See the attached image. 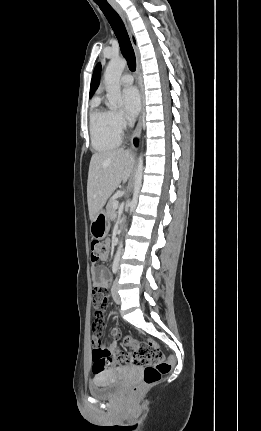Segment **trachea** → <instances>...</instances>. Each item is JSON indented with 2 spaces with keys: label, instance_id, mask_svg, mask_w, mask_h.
Returning <instances> with one entry per match:
<instances>
[{
  "label": "trachea",
  "instance_id": "trachea-1",
  "mask_svg": "<svg viewBox=\"0 0 261 431\" xmlns=\"http://www.w3.org/2000/svg\"><path fill=\"white\" fill-rule=\"evenodd\" d=\"M106 19L110 23L120 45L121 52L126 58L128 67L131 71L136 69V58L130 38L126 31L125 25L118 13L108 4L97 3Z\"/></svg>",
  "mask_w": 261,
  "mask_h": 431
}]
</instances>
